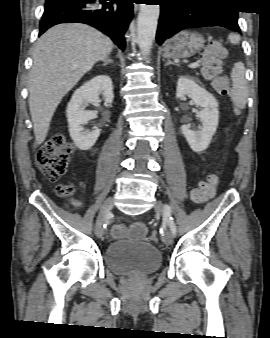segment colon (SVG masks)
I'll use <instances>...</instances> for the list:
<instances>
[{
	"label": "colon",
	"instance_id": "5ec220e1",
	"mask_svg": "<svg viewBox=\"0 0 270 338\" xmlns=\"http://www.w3.org/2000/svg\"><path fill=\"white\" fill-rule=\"evenodd\" d=\"M227 56V47L220 42H212L205 46L202 54V73L211 80L213 88L227 94V81L221 73L220 62ZM73 150L72 144L63 136H57L45 142L36 153V161L43 176L52 182L59 180L67 171L69 155ZM220 183V176L214 173L205 181H202L198 188L191 193V198L195 203H203L209 199L216 191ZM71 187L67 184H59L56 188L60 197H67L71 193ZM153 241H157V235L151 236Z\"/></svg>",
	"mask_w": 270,
	"mask_h": 338
}]
</instances>
